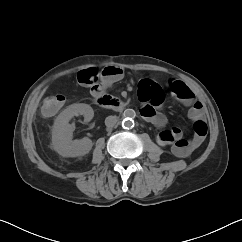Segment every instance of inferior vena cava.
<instances>
[{"instance_id": "obj_1", "label": "inferior vena cava", "mask_w": 242, "mask_h": 242, "mask_svg": "<svg viewBox=\"0 0 242 242\" xmlns=\"http://www.w3.org/2000/svg\"><path fill=\"white\" fill-rule=\"evenodd\" d=\"M118 121V117L117 116H108L105 119V125L107 127H113Z\"/></svg>"}]
</instances>
